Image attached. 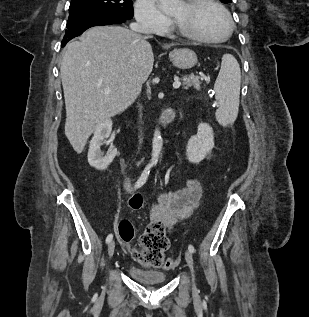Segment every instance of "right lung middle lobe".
I'll use <instances>...</instances> for the list:
<instances>
[{
  "mask_svg": "<svg viewBox=\"0 0 309 317\" xmlns=\"http://www.w3.org/2000/svg\"><path fill=\"white\" fill-rule=\"evenodd\" d=\"M95 12L129 20L133 17L132 0H71L69 14Z\"/></svg>",
  "mask_w": 309,
  "mask_h": 317,
  "instance_id": "obj_1",
  "label": "right lung middle lobe"
}]
</instances>
